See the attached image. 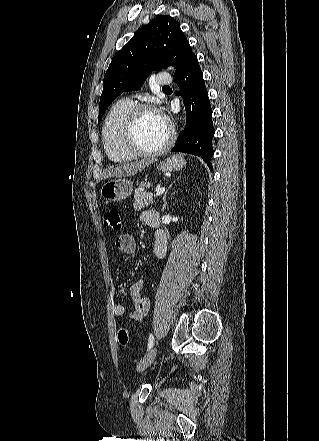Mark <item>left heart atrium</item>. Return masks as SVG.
Segmentation results:
<instances>
[{
	"instance_id": "1",
	"label": "left heart atrium",
	"mask_w": 319,
	"mask_h": 441,
	"mask_svg": "<svg viewBox=\"0 0 319 441\" xmlns=\"http://www.w3.org/2000/svg\"><path fill=\"white\" fill-rule=\"evenodd\" d=\"M160 117L166 122L165 118L162 115H160Z\"/></svg>"
}]
</instances>
